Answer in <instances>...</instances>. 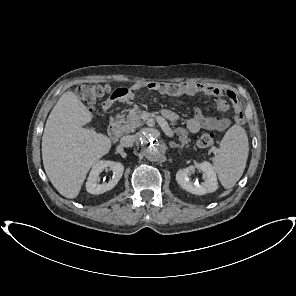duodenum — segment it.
Instances as JSON below:
<instances>
[{"instance_id":"duodenum-1","label":"duodenum","mask_w":296,"mask_h":296,"mask_svg":"<svg viewBox=\"0 0 296 296\" xmlns=\"http://www.w3.org/2000/svg\"><path fill=\"white\" fill-rule=\"evenodd\" d=\"M108 134L113 141H116L119 138L120 129H119V124L116 120H113L110 122L108 126Z\"/></svg>"}]
</instances>
